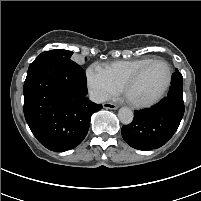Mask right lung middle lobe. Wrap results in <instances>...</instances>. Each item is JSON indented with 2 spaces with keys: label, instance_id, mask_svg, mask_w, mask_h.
Returning a JSON list of instances; mask_svg holds the SVG:
<instances>
[{
  "label": "right lung middle lobe",
  "instance_id": "right-lung-middle-lobe-1",
  "mask_svg": "<svg viewBox=\"0 0 201 201\" xmlns=\"http://www.w3.org/2000/svg\"><path fill=\"white\" fill-rule=\"evenodd\" d=\"M73 52L63 50V49H55L51 51H46L41 53L36 59H41V58H52L56 60H61V61H72L71 55Z\"/></svg>",
  "mask_w": 201,
  "mask_h": 201
}]
</instances>
